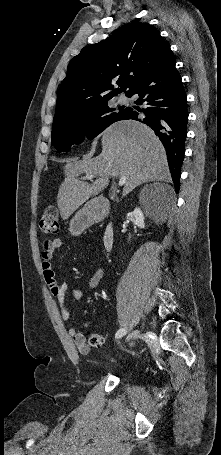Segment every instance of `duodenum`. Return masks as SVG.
Returning a JSON list of instances; mask_svg holds the SVG:
<instances>
[{
	"mask_svg": "<svg viewBox=\"0 0 221 455\" xmlns=\"http://www.w3.org/2000/svg\"><path fill=\"white\" fill-rule=\"evenodd\" d=\"M110 207L107 201H101L96 208L95 218L97 220L105 218L109 213ZM103 245L107 251H111L114 246L115 232L112 223H109L103 232Z\"/></svg>",
	"mask_w": 221,
	"mask_h": 455,
	"instance_id": "1",
	"label": "duodenum"
}]
</instances>
